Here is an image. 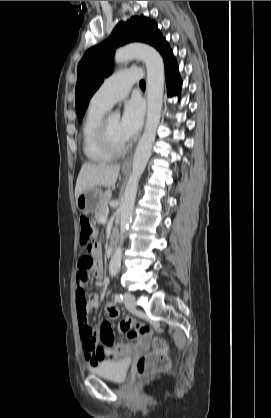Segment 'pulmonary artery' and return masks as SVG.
Returning <instances> with one entry per match:
<instances>
[{
  "mask_svg": "<svg viewBox=\"0 0 271 418\" xmlns=\"http://www.w3.org/2000/svg\"><path fill=\"white\" fill-rule=\"evenodd\" d=\"M141 71L136 68L120 70L107 78L91 99V103L111 108L114 103L124 98L131 86L139 81Z\"/></svg>",
  "mask_w": 271,
  "mask_h": 418,
  "instance_id": "pulmonary-artery-1",
  "label": "pulmonary artery"
}]
</instances>
